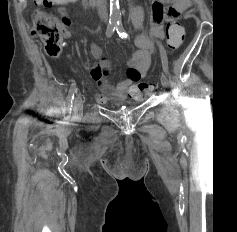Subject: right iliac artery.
<instances>
[{"mask_svg":"<svg viewBox=\"0 0 237 232\" xmlns=\"http://www.w3.org/2000/svg\"><path fill=\"white\" fill-rule=\"evenodd\" d=\"M116 29V25L114 24H109L107 26V29H106V36L107 37H111L112 34L114 33ZM77 92V85L75 83V81L71 84V87L69 89V93H68V96H67V104H68V112L69 114H71L72 112V107H73V100H74V95L75 93ZM70 116H68L69 118Z\"/></svg>","mask_w":237,"mask_h":232,"instance_id":"obj_1","label":"right iliac artery"}]
</instances>
